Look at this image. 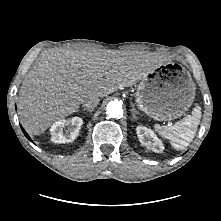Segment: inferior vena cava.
I'll return each mask as SVG.
<instances>
[{"mask_svg": "<svg viewBox=\"0 0 221 221\" xmlns=\"http://www.w3.org/2000/svg\"><path fill=\"white\" fill-rule=\"evenodd\" d=\"M99 101V96L88 95L82 100V105L87 109L93 110L99 104Z\"/></svg>", "mask_w": 221, "mask_h": 221, "instance_id": "obj_1", "label": "inferior vena cava"}]
</instances>
